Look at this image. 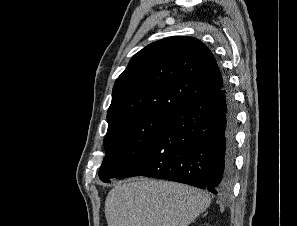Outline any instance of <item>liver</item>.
<instances>
[{
  "label": "liver",
  "instance_id": "obj_1",
  "mask_svg": "<svg viewBox=\"0 0 297 226\" xmlns=\"http://www.w3.org/2000/svg\"><path fill=\"white\" fill-rule=\"evenodd\" d=\"M204 191L188 185L140 178L121 181L108 193V226H188L210 205Z\"/></svg>",
  "mask_w": 297,
  "mask_h": 226
}]
</instances>
